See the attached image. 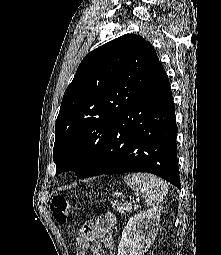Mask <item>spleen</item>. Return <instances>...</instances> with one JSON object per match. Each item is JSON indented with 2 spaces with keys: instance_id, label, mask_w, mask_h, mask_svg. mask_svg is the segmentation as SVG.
<instances>
[{
  "instance_id": "spleen-1",
  "label": "spleen",
  "mask_w": 221,
  "mask_h": 255,
  "mask_svg": "<svg viewBox=\"0 0 221 255\" xmlns=\"http://www.w3.org/2000/svg\"><path fill=\"white\" fill-rule=\"evenodd\" d=\"M124 181L132 188L135 194L141 195L149 206L159 204L169 190L166 181L152 174H128L124 176Z\"/></svg>"
}]
</instances>
